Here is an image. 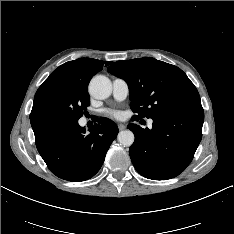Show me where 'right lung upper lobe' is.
Returning a JSON list of instances; mask_svg holds the SVG:
<instances>
[{"mask_svg":"<svg viewBox=\"0 0 234 234\" xmlns=\"http://www.w3.org/2000/svg\"><path fill=\"white\" fill-rule=\"evenodd\" d=\"M104 64V61L91 58H80L66 62L50 74V76L39 87L36 95L46 87L57 82H67L87 88L91 77L101 71ZM110 64L111 62L106 63L107 66Z\"/></svg>","mask_w":234,"mask_h":234,"instance_id":"1","label":"right lung upper lobe"}]
</instances>
